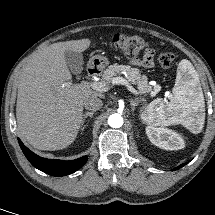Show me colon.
<instances>
[{
	"label": "colon",
	"instance_id": "1",
	"mask_svg": "<svg viewBox=\"0 0 215 215\" xmlns=\"http://www.w3.org/2000/svg\"><path fill=\"white\" fill-rule=\"evenodd\" d=\"M110 45L121 51L124 55L134 58L146 47V41L137 35L116 34L111 39ZM174 58L173 53L164 52L159 54L158 62L163 68H169Z\"/></svg>",
	"mask_w": 215,
	"mask_h": 215
}]
</instances>
